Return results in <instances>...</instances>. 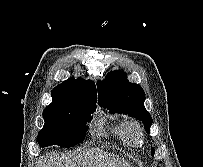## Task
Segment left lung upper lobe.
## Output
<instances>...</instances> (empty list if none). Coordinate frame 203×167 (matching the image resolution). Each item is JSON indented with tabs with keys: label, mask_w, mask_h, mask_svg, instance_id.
Returning a JSON list of instances; mask_svg holds the SVG:
<instances>
[{
	"label": "left lung upper lobe",
	"mask_w": 203,
	"mask_h": 167,
	"mask_svg": "<svg viewBox=\"0 0 203 167\" xmlns=\"http://www.w3.org/2000/svg\"><path fill=\"white\" fill-rule=\"evenodd\" d=\"M98 103L110 110V113H124L142 121L147 133H150L152 117L144 106L145 93L138 84L127 80L123 71H112L104 81L97 82ZM154 149L151 150L152 156Z\"/></svg>",
	"instance_id": "1"
}]
</instances>
